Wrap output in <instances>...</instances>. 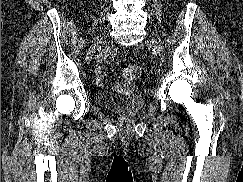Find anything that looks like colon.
Instances as JSON below:
<instances>
[{
  "mask_svg": "<svg viewBox=\"0 0 243 182\" xmlns=\"http://www.w3.org/2000/svg\"><path fill=\"white\" fill-rule=\"evenodd\" d=\"M122 75L125 79L133 80L141 75V69L138 66H128L123 69Z\"/></svg>",
  "mask_w": 243,
  "mask_h": 182,
  "instance_id": "obj_1",
  "label": "colon"
}]
</instances>
